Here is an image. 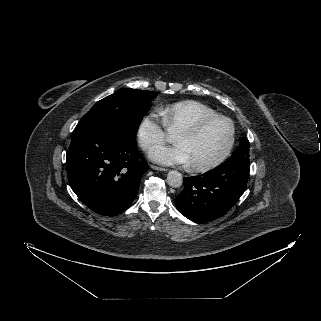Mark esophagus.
Listing matches in <instances>:
<instances>
[{"instance_id": "obj_1", "label": "esophagus", "mask_w": 321, "mask_h": 321, "mask_svg": "<svg viewBox=\"0 0 321 321\" xmlns=\"http://www.w3.org/2000/svg\"><path fill=\"white\" fill-rule=\"evenodd\" d=\"M152 169L158 170V171H167L166 168L163 167H159V166H155V165H151Z\"/></svg>"}]
</instances>
